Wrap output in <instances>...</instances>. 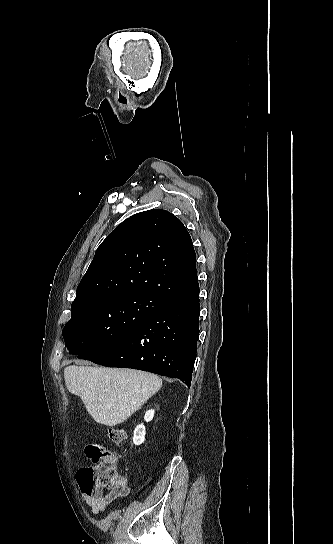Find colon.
Segmentation results:
<instances>
[{"mask_svg":"<svg viewBox=\"0 0 333 544\" xmlns=\"http://www.w3.org/2000/svg\"><path fill=\"white\" fill-rule=\"evenodd\" d=\"M108 436L113 443L119 444L125 440L126 432L119 427H110ZM85 452L93 465L78 470L77 480L80 487L88 492L115 487L121 479L115 455L95 444L88 445Z\"/></svg>","mask_w":333,"mask_h":544,"instance_id":"5ec220e1","label":"colon"}]
</instances>
